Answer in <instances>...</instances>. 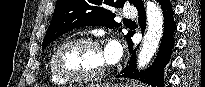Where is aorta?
I'll use <instances>...</instances> for the list:
<instances>
[{"instance_id":"1","label":"aorta","mask_w":205,"mask_h":87,"mask_svg":"<svg viewBox=\"0 0 205 87\" xmlns=\"http://www.w3.org/2000/svg\"><path fill=\"white\" fill-rule=\"evenodd\" d=\"M147 32L138 55V67L145 68L154 56L163 34V14L155 1H146Z\"/></svg>"}]
</instances>
